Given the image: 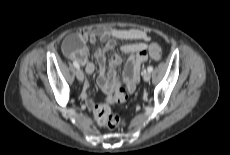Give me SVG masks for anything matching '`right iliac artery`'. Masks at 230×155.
Here are the masks:
<instances>
[{
  "label": "right iliac artery",
  "mask_w": 230,
  "mask_h": 155,
  "mask_svg": "<svg viewBox=\"0 0 230 155\" xmlns=\"http://www.w3.org/2000/svg\"><path fill=\"white\" fill-rule=\"evenodd\" d=\"M73 65L75 68L79 69L80 68V65L77 63V62H73Z\"/></svg>",
  "instance_id": "right-iliac-artery-1"
}]
</instances>
